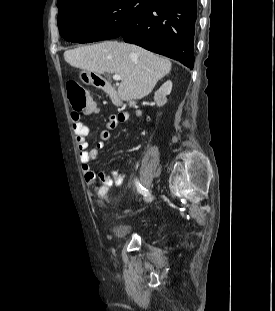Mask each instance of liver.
I'll use <instances>...</instances> for the list:
<instances>
[{"label": "liver", "instance_id": "obj_1", "mask_svg": "<svg viewBox=\"0 0 275 311\" xmlns=\"http://www.w3.org/2000/svg\"><path fill=\"white\" fill-rule=\"evenodd\" d=\"M64 59L71 66L85 71L120 75L122 79L118 95L123 101L139 100L149 95L172 67L166 58L139 46L118 41L67 50Z\"/></svg>", "mask_w": 275, "mask_h": 311}]
</instances>
